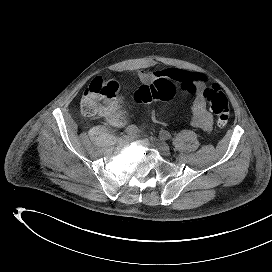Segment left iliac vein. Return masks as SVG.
<instances>
[{"instance_id":"left-iliac-vein-1","label":"left iliac vein","mask_w":272,"mask_h":272,"mask_svg":"<svg viewBox=\"0 0 272 272\" xmlns=\"http://www.w3.org/2000/svg\"><path fill=\"white\" fill-rule=\"evenodd\" d=\"M150 141L163 156L170 155V148L164 141L156 137H151Z\"/></svg>"}]
</instances>
